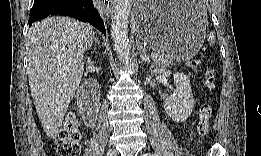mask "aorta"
Here are the masks:
<instances>
[{
	"instance_id": "obj_1",
	"label": "aorta",
	"mask_w": 261,
	"mask_h": 156,
	"mask_svg": "<svg viewBox=\"0 0 261 156\" xmlns=\"http://www.w3.org/2000/svg\"><path fill=\"white\" fill-rule=\"evenodd\" d=\"M130 0H117L111 23V35L118 59L128 65L131 63L130 44L128 39Z\"/></svg>"
}]
</instances>
